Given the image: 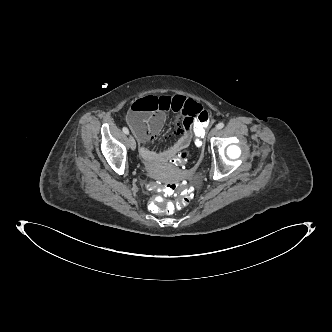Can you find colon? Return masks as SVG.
<instances>
[{"label": "colon", "mask_w": 332, "mask_h": 332, "mask_svg": "<svg viewBox=\"0 0 332 332\" xmlns=\"http://www.w3.org/2000/svg\"><path fill=\"white\" fill-rule=\"evenodd\" d=\"M209 114L206 111H202L194 122V128L192 129L193 145L197 148L196 152L191 155L189 151L182 150L178 155H173L169 159V164L173 168H191L198 169L203 159L208 156V149L204 147L206 145V129L208 128ZM147 192L160 193L162 196H169L176 190H181V199L173 203H165L164 200L158 196L155 197L151 204L155 211L159 213H172L175 208H184L188 205L192 197V188L185 180H177L169 182L165 185L147 183L145 185Z\"/></svg>", "instance_id": "obj_1"}]
</instances>
